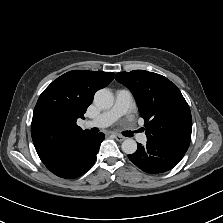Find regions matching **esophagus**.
<instances>
[{"label": "esophagus", "instance_id": "1", "mask_svg": "<svg viewBox=\"0 0 223 223\" xmlns=\"http://www.w3.org/2000/svg\"><path fill=\"white\" fill-rule=\"evenodd\" d=\"M115 139H116L117 141H123V140L125 139V137H123V136H121V135H119V134H116V135H115Z\"/></svg>", "mask_w": 223, "mask_h": 223}]
</instances>
